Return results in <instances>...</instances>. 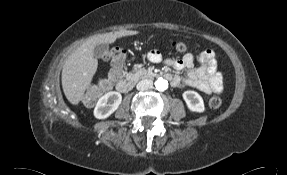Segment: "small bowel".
I'll return each instance as SVG.
<instances>
[{"instance_id": "c3829d8e", "label": "small bowel", "mask_w": 287, "mask_h": 175, "mask_svg": "<svg viewBox=\"0 0 287 175\" xmlns=\"http://www.w3.org/2000/svg\"><path fill=\"white\" fill-rule=\"evenodd\" d=\"M203 58H205V55H203ZM192 62H193V58L187 57L183 62H177V61L168 59L165 61V64L169 68L181 70L184 67L191 64ZM207 73H208V68L205 65H201L197 71H190V72H187L183 76L177 77L175 79V82L177 84L192 85V86H196L204 90H207L208 85L204 80Z\"/></svg>"}]
</instances>
